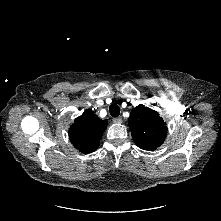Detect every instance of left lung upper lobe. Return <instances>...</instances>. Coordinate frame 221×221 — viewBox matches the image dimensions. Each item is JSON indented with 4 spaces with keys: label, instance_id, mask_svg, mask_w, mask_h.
Instances as JSON below:
<instances>
[{
    "label": "left lung upper lobe",
    "instance_id": "left-lung-upper-lobe-1",
    "mask_svg": "<svg viewBox=\"0 0 221 221\" xmlns=\"http://www.w3.org/2000/svg\"><path fill=\"white\" fill-rule=\"evenodd\" d=\"M135 144L144 150H154L165 140L166 123L158 112L143 105L136 106L128 119Z\"/></svg>",
    "mask_w": 221,
    "mask_h": 221
}]
</instances>
